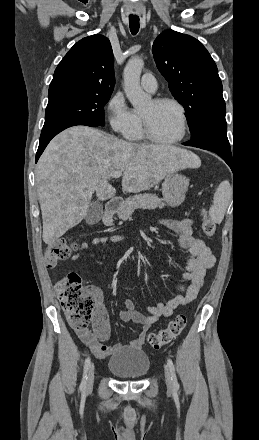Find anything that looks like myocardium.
Segmentation results:
<instances>
[{
	"instance_id": "f54148a6",
	"label": "myocardium",
	"mask_w": 259,
	"mask_h": 440,
	"mask_svg": "<svg viewBox=\"0 0 259 440\" xmlns=\"http://www.w3.org/2000/svg\"><path fill=\"white\" fill-rule=\"evenodd\" d=\"M153 103L156 105L172 104V105L176 106L179 111V114H180L182 130H181L180 135L174 139H171V140L161 139L153 132V129L151 127V124H150L148 118L146 116H144L143 114H141L143 132L145 134V137L147 139H149L150 141L157 143V144H161V145H173V144H177V143L181 142L185 138V136L187 135V132H188L187 114H186V110H185V107L183 106V104L181 102H179L178 100H176L174 98H170V97L156 98L153 100Z\"/></svg>"
}]
</instances>
